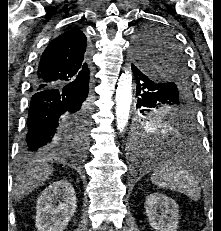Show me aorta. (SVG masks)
Wrapping results in <instances>:
<instances>
[{
  "label": "aorta",
  "mask_w": 221,
  "mask_h": 231,
  "mask_svg": "<svg viewBox=\"0 0 221 231\" xmlns=\"http://www.w3.org/2000/svg\"><path fill=\"white\" fill-rule=\"evenodd\" d=\"M116 126L119 132H123L130 118L132 103V75L129 72L122 73L116 89ZM144 138H148L145 135Z\"/></svg>",
  "instance_id": "1"
}]
</instances>
